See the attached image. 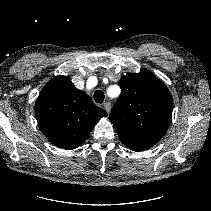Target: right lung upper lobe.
<instances>
[{
  "instance_id": "right-lung-upper-lobe-1",
  "label": "right lung upper lobe",
  "mask_w": 211,
  "mask_h": 211,
  "mask_svg": "<svg viewBox=\"0 0 211 211\" xmlns=\"http://www.w3.org/2000/svg\"><path fill=\"white\" fill-rule=\"evenodd\" d=\"M37 122L54 145L75 149L93 127L108 114L95 106L90 97L78 90L67 76H56L42 89L35 103Z\"/></svg>"
}]
</instances>
